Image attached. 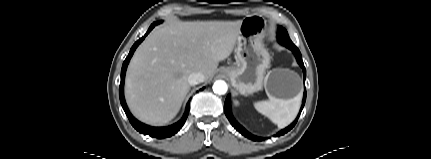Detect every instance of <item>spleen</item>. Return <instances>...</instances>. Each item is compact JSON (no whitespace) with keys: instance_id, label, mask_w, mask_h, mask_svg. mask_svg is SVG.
Here are the masks:
<instances>
[{"instance_id":"1","label":"spleen","mask_w":431,"mask_h":159,"mask_svg":"<svg viewBox=\"0 0 431 159\" xmlns=\"http://www.w3.org/2000/svg\"><path fill=\"white\" fill-rule=\"evenodd\" d=\"M301 100L302 92L289 100L269 96V100L255 102L254 107L259 113L276 124L278 128H284L297 116Z\"/></svg>"}]
</instances>
